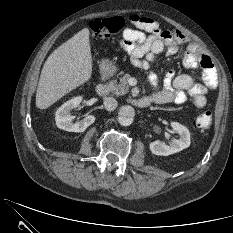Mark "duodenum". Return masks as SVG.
I'll return each instance as SVG.
<instances>
[{
    "mask_svg": "<svg viewBox=\"0 0 233 233\" xmlns=\"http://www.w3.org/2000/svg\"><path fill=\"white\" fill-rule=\"evenodd\" d=\"M110 74H111L110 66L108 64H104L101 68L102 82L96 86V93L99 96H105L108 94L109 88L106 83V80L108 79ZM130 102L138 108H146L152 103L149 97L132 98L130 99Z\"/></svg>",
    "mask_w": 233,
    "mask_h": 233,
    "instance_id": "duodenum-1",
    "label": "duodenum"
}]
</instances>
